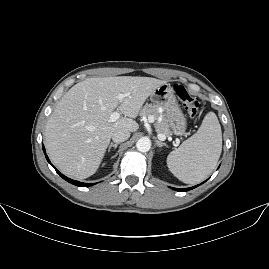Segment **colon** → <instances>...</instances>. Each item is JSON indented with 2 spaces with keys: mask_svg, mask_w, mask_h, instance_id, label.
Masks as SVG:
<instances>
[{
  "mask_svg": "<svg viewBox=\"0 0 269 269\" xmlns=\"http://www.w3.org/2000/svg\"><path fill=\"white\" fill-rule=\"evenodd\" d=\"M174 92L183 104L187 114L191 117H197L200 113L201 102L194 95L190 94L184 86L176 84L174 86Z\"/></svg>",
  "mask_w": 269,
  "mask_h": 269,
  "instance_id": "5ec220e1",
  "label": "colon"
}]
</instances>
